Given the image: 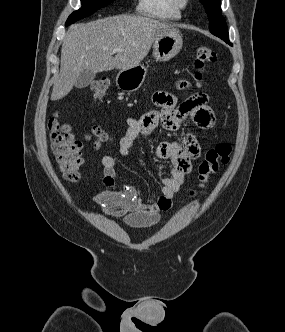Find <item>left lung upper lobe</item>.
I'll return each mask as SVG.
<instances>
[{
	"mask_svg": "<svg viewBox=\"0 0 285 332\" xmlns=\"http://www.w3.org/2000/svg\"><path fill=\"white\" fill-rule=\"evenodd\" d=\"M210 20L209 29L212 34L229 43L227 24L221 14L220 0H200Z\"/></svg>",
	"mask_w": 285,
	"mask_h": 332,
	"instance_id": "obj_1",
	"label": "left lung upper lobe"
}]
</instances>
